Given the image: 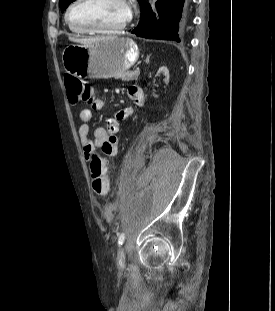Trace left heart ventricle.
Segmentation results:
<instances>
[{"label": "left heart ventricle", "mask_w": 275, "mask_h": 311, "mask_svg": "<svg viewBox=\"0 0 275 311\" xmlns=\"http://www.w3.org/2000/svg\"><path fill=\"white\" fill-rule=\"evenodd\" d=\"M128 10L121 0H84L71 12L76 26L94 29H112L123 24Z\"/></svg>", "instance_id": "obj_1"}]
</instances>
